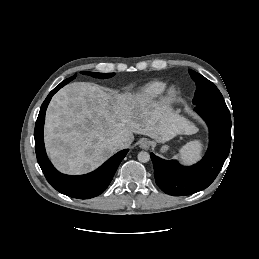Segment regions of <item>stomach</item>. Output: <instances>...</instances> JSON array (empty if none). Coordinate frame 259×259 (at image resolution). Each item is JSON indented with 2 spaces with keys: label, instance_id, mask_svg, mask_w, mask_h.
<instances>
[{
  "label": "stomach",
  "instance_id": "obj_1",
  "mask_svg": "<svg viewBox=\"0 0 259 259\" xmlns=\"http://www.w3.org/2000/svg\"><path fill=\"white\" fill-rule=\"evenodd\" d=\"M167 149H168V146L165 145V146H163V147L161 148V151H162V152H165Z\"/></svg>",
  "mask_w": 259,
  "mask_h": 259
}]
</instances>
